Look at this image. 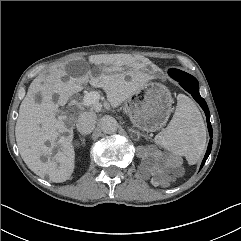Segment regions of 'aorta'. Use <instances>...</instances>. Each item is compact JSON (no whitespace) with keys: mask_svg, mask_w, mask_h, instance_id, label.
Listing matches in <instances>:
<instances>
[{"mask_svg":"<svg viewBox=\"0 0 241 241\" xmlns=\"http://www.w3.org/2000/svg\"><path fill=\"white\" fill-rule=\"evenodd\" d=\"M100 128L104 133L112 134L118 128L117 120L112 116L105 115L100 119Z\"/></svg>","mask_w":241,"mask_h":241,"instance_id":"obj_1","label":"aorta"}]
</instances>
